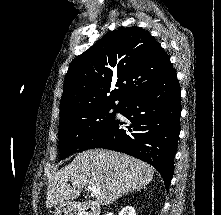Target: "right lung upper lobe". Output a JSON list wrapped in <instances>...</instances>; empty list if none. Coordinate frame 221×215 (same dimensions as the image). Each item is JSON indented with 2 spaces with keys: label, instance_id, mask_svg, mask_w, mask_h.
<instances>
[{
  "label": "right lung upper lobe",
  "instance_id": "1",
  "mask_svg": "<svg viewBox=\"0 0 221 215\" xmlns=\"http://www.w3.org/2000/svg\"><path fill=\"white\" fill-rule=\"evenodd\" d=\"M172 70L168 55L149 32L136 26L112 31L72 61L61 119L97 107L118 108Z\"/></svg>",
  "mask_w": 221,
  "mask_h": 215
}]
</instances>
